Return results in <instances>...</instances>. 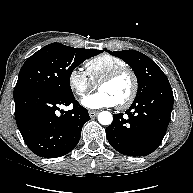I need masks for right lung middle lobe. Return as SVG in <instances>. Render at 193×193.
I'll use <instances>...</instances> for the list:
<instances>
[{"instance_id": "right-lung-middle-lobe-1", "label": "right lung middle lobe", "mask_w": 193, "mask_h": 193, "mask_svg": "<svg viewBox=\"0 0 193 193\" xmlns=\"http://www.w3.org/2000/svg\"><path fill=\"white\" fill-rule=\"evenodd\" d=\"M102 52L103 50L73 48L60 43L46 45L22 66L14 89V99L35 90L73 95L70 87L72 71L84 60Z\"/></svg>"}]
</instances>
